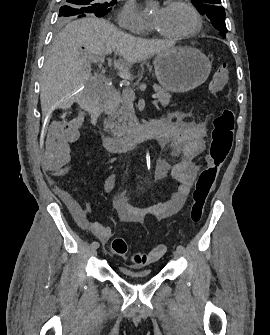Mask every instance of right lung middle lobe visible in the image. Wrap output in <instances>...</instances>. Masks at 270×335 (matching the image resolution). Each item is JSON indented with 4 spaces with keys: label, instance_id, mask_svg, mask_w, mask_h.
I'll return each instance as SVG.
<instances>
[{
    "label": "right lung middle lobe",
    "instance_id": "right-lung-middle-lobe-1",
    "mask_svg": "<svg viewBox=\"0 0 270 335\" xmlns=\"http://www.w3.org/2000/svg\"><path fill=\"white\" fill-rule=\"evenodd\" d=\"M65 5L60 7L59 21L79 19L93 14L96 17H103L112 10L116 0H63Z\"/></svg>",
    "mask_w": 270,
    "mask_h": 335
}]
</instances>
